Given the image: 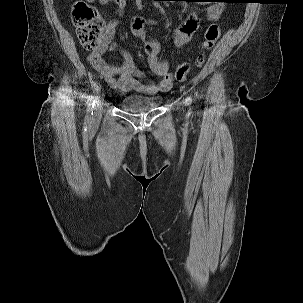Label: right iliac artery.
Returning <instances> with one entry per match:
<instances>
[{"label": "right iliac artery", "instance_id": "right-iliac-artery-1", "mask_svg": "<svg viewBox=\"0 0 303 303\" xmlns=\"http://www.w3.org/2000/svg\"><path fill=\"white\" fill-rule=\"evenodd\" d=\"M101 87L98 84L93 85V94L88 97L85 121L89 123L93 116L95 101L100 93Z\"/></svg>", "mask_w": 303, "mask_h": 303}]
</instances>
